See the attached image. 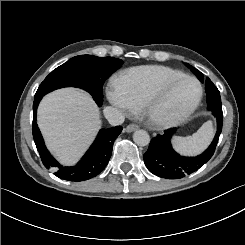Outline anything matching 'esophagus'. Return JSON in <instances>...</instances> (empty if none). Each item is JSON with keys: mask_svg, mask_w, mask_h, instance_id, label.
<instances>
[{"mask_svg": "<svg viewBox=\"0 0 245 245\" xmlns=\"http://www.w3.org/2000/svg\"><path fill=\"white\" fill-rule=\"evenodd\" d=\"M138 129V125H136V124H129L127 127H126V132H133V131H135V130H137Z\"/></svg>", "mask_w": 245, "mask_h": 245, "instance_id": "obj_1", "label": "esophagus"}]
</instances>
